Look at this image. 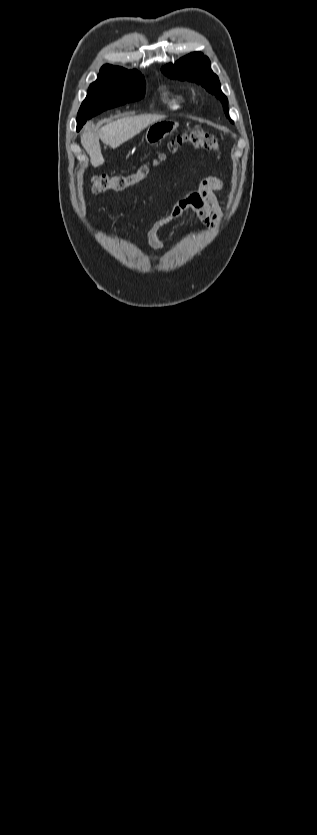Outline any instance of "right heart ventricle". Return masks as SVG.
I'll use <instances>...</instances> for the list:
<instances>
[{"label":"right heart ventricle","instance_id":"1","mask_svg":"<svg viewBox=\"0 0 317 835\" xmlns=\"http://www.w3.org/2000/svg\"><path fill=\"white\" fill-rule=\"evenodd\" d=\"M164 96L167 99L170 107L173 108V109L179 108L182 105V103L185 101L184 95L181 94V93H178V92L169 91V92H166L164 94Z\"/></svg>","mask_w":317,"mask_h":835}]
</instances>
